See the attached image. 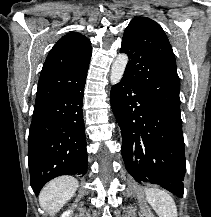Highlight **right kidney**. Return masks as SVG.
<instances>
[{"label": "right kidney", "mask_w": 211, "mask_h": 217, "mask_svg": "<svg viewBox=\"0 0 211 217\" xmlns=\"http://www.w3.org/2000/svg\"><path fill=\"white\" fill-rule=\"evenodd\" d=\"M70 211H66V212H64L63 214H62V216L61 217H69L70 216Z\"/></svg>", "instance_id": "right-kidney-1"}]
</instances>
